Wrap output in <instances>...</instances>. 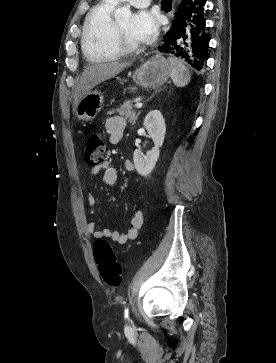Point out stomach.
I'll list each match as a JSON object with an SVG mask.
<instances>
[{
    "label": "stomach",
    "instance_id": "1",
    "mask_svg": "<svg viewBox=\"0 0 276 363\" xmlns=\"http://www.w3.org/2000/svg\"><path fill=\"white\" fill-rule=\"evenodd\" d=\"M170 72L169 60L156 54L135 70L133 80L142 88L157 89L168 80ZM103 102L101 92L89 91L79 100L75 113L80 120L91 121L101 111Z\"/></svg>",
    "mask_w": 276,
    "mask_h": 363
}]
</instances>
